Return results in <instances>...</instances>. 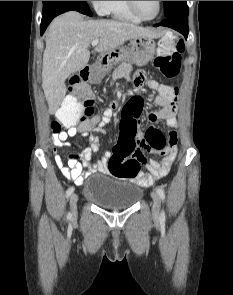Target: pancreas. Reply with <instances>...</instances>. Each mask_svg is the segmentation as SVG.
Wrapping results in <instances>:
<instances>
[{
    "mask_svg": "<svg viewBox=\"0 0 233 295\" xmlns=\"http://www.w3.org/2000/svg\"><path fill=\"white\" fill-rule=\"evenodd\" d=\"M132 65L130 63L122 62L115 70L113 71L112 78L118 79V78H128L130 75V72L132 71Z\"/></svg>",
    "mask_w": 233,
    "mask_h": 295,
    "instance_id": "cf45deb5",
    "label": "pancreas"
}]
</instances>
